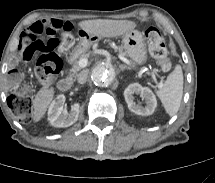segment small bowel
Wrapping results in <instances>:
<instances>
[{
  "label": "small bowel",
  "instance_id": "obj_1",
  "mask_svg": "<svg viewBox=\"0 0 215 183\" xmlns=\"http://www.w3.org/2000/svg\"><path fill=\"white\" fill-rule=\"evenodd\" d=\"M36 22H37V21H36ZM32 24H33V23H32ZM32 24H31V25H32ZM31 25L29 26V28H28L27 30L30 31ZM69 25H70V29H71L72 26H71L70 23H69ZM70 29H69V30H70ZM19 81H20L19 75L15 74L14 77H13V80H12V84H13V85H16Z\"/></svg>",
  "mask_w": 215,
  "mask_h": 183
}]
</instances>
